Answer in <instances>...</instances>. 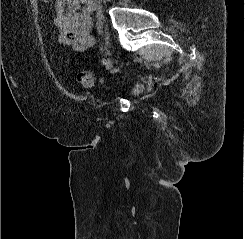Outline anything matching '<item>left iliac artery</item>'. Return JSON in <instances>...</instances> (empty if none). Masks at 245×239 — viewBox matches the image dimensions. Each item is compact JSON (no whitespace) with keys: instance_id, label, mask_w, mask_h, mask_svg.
<instances>
[{"instance_id":"left-iliac-artery-1","label":"left iliac artery","mask_w":245,"mask_h":239,"mask_svg":"<svg viewBox=\"0 0 245 239\" xmlns=\"http://www.w3.org/2000/svg\"><path fill=\"white\" fill-rule=\"evenodd\" d=\"M105 63H106V60L102 59V64L105 65Z\"/></svg>"}]
</instances>
